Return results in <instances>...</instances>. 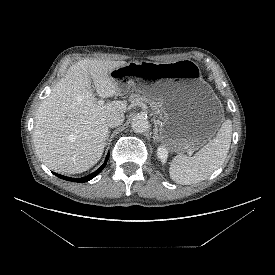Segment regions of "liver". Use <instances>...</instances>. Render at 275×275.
I'll return each mask as SVG.
<instances>
[{"mask_svg":"<svg viewBox=\"0 0 275 275\" xmlns=\"http://www.w3.org/2000/svg\"><path fill=\"white\" fill-rule=\"evenodd\" d=\"M125 61L84 59L72 65L40 104L33 141L38 157L51 170L68 174L87 171L101 158L106 145L107 116L125 113V101L99 105L100 97H117L121 90L110 72Z\"/></svg>","mask_w":275,"mask_h":275,"instance_id":"1","label":"liver"}]
</instances>
